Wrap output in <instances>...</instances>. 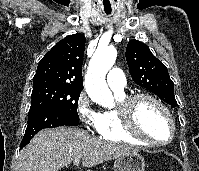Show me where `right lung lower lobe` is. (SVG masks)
I'll return each instance as SVG.
<instances>
[{
    "label": "right lung lower lobe",
    "instance_id": "98d812e1",
    "mask_svg": "<svg viewBox=\"0 0 199 171\" xmlns=\"http://www.w3.org/2000/svg\"><path fill=\"white\" fill-rule=\"evenodd\" d=\"M28 125L20 149L27 145L31 138L44 128L79 124V119L51 105L30 108Z\"/></svg>",
    "mask_w": 199,
    "mask_h": 171
}]
</instances>
